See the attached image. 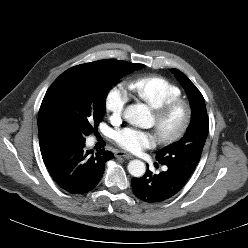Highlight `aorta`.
<instances>
[{"label": "aorta", "instance_id": "762f6f07", "mask_svg": "<svg viewBox=\"0 0 248 248\" xmlns=\"http://www.w3.org/2000/svg\"><path fill=\"white\" fill-rule=\"evenodd\" d=\"M124 118L130 124L145 128L150 124V111L144 104L129 105L124 111ZM128 171L134 177H142L146 166L141 160H132L128 164Z\"/></svg>", "mask_w": 248, "mask_h": 248}]
</instances>
